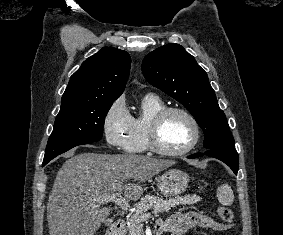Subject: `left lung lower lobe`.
Returning a JSON list of instances; mask_svg holds the SVG:
<instances>
[{
  "mask_svg": "<svg viewBox=\"0 0 283 235\" xmlns=\"http://www.w3.org/2000/svg\"><path fill=\"white\" fill-rule=\"evenodd\" d=\"M204 154L210 157L217 158L227 164L233 172L237 175L238 167H239V161H238V154L237 151L234 148H214L209 149ZM203 153H195L193 155L188 156L189 159L201 157L204 155Z\"/></svg>",
  "mask_w": 283,
  "mask_h": 235,
  "instance_id": "left-lung-lower-lobe-1",
  "label": "left lung lower lobe"
}]
</instances>
